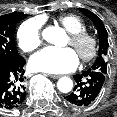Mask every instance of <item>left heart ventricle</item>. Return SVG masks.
Returning <instances> with one entry per match:
<instances>
[{"mask_svg": "<svg viewBox=\"0 0 117 117\" xmlns=\"http://www.w3.org/2000/svg\"><path fill=\"white\" fill-rule=\"evenodd\" d=\"M68 43L70 44V41L68 40ZM76 50V49H75ZM76 52L78 53V51L76 50Z\"/></svg>", "mask_w": 117, "mask_h": 117, "instance_id": "left-heart-ventricle-1", "label": "left heart ventricle"}]
</instances>
